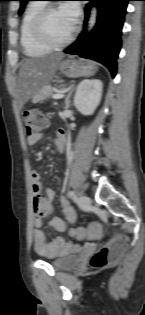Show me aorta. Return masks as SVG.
Instances as JSON below:
<instances>
[{
    "label": "aorta",
    "mask_w": 145,
    "mask_h": 315,
    "mask_svg": "<svg viewBox=\"0 0 145 315\" xmlns=\"http://www.w3.org/2000/svg\"><path fill=\"white\" fill-rule=\"evenodd\" d=\"M96 17H97V9L96 7H93L91 10L89 21H88V31H90L94 27L96 23Z\"/></svg>",
    "instance_id": "762f6f07"
}]
</instances>
